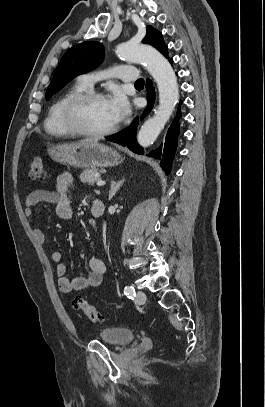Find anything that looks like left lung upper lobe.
I'll list each match as a JSON object with an SVG mask.
<instances>
[{
	"mask_svg": "<svg viewBox=\"0 0 265 407\" xmlns=\"http://www.w3.org/2000/svg\"><path fill=\"white\" fill-rule=\"evenodd\" d=\"M142 42L152 45L165 57L168 56L167 46L163 41L161 33L151 26L147 27V33ZM103 56L104 48L99 42H83L70 48L63 55L55 70L52 81L46 91V100L63 88L74 77L98 66L102 62Z\"/></svg>",
	"mask_w": 265,
	"mask_h": 407,
	"instance_id": "left-lung-upper-lobe-1",
	"label": "left lung upper lobe"
}]
</instances>
